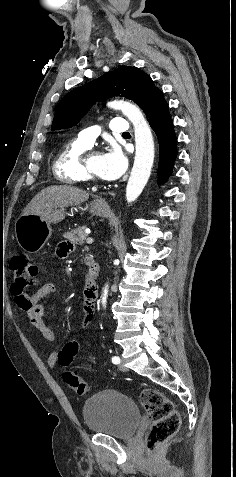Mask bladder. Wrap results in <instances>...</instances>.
Listing matches in <instances>:
<instances>
[{"label":"bladder","mask_w":236,"mask_h":477,"mask_svg":"<svg viewBox=\"0 0 236 477\" xmlns=\"http://www.w3.org/2000/svg\"><path fill=\"white\" fill-rule=\"evenodd\" d=\"M82 415L90 432L118 439L132 438L141 419L137 404L114 389L91 396L83 405Z\"/></svg>","instance_id":"1"}]
</instances>
